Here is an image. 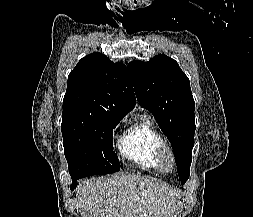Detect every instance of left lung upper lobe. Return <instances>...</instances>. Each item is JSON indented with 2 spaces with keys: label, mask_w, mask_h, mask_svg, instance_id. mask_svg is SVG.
Segmentation results:
<instances>
[{
  "label": "left lung upper lobe",
  "mask_w": 253,
  "mask_h": 217,
  "mask_svg": "<svg viewBox=\"0 0 253 217\" xmlns=\"http://www.w3.org/2000/svg\"><path fill=\"white\" fill-rule=\"evenodd\" d=\"M138 102L155 117L175 152L179 180L189 178L195 133V102L190 82L178 63L164 54L129 63Z\"/></svg>",
  "instance_id": "obj_1"
}]
</instances>
